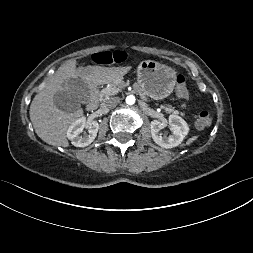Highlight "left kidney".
<instances>
[{"label":"left kidney","instance_id":"obj_1","mask_svg":"<svg viewBox=\"0 0 253 253\" xmlns=\"http://www.w3.org/2000/svg\"><path fill=\"white\" fill-rule=\"evenodd\" d=\"M168 124L172 134L166 136L165 134L160 133L165 124L158 120L151 121L150 129L152 138L156 144L163 148H173L179 146L188 134L189 126L180 116L173 114L169 116Z\"/></svg>","mask_w":253,"mask_h":253}]
</instances>
